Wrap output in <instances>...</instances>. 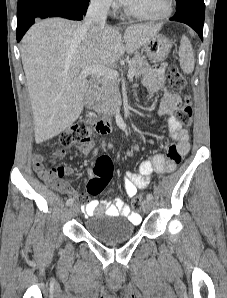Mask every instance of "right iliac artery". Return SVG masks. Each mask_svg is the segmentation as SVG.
<instances>
[{"mask_svg":"<svg viewBox=\"0 0 227 298\" xmlns=\"http://www.w3.org/2000/svg\"><path fill=\"white\" fill-rule=\"evenodd\" d=\"M73 204V199L72 198H69L67 201H66V205L67 206H70Z\"/></svg>","mask_w":227,"mask_h":298,"instance_id":"right-iliac-artery-1","label":"right iliac artery"}]
</instances>
